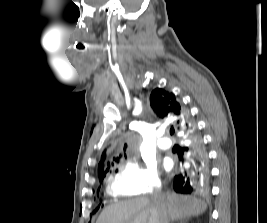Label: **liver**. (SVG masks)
Wrapping results in <instances>:
<instances>
[{"label": "liver", "instance_id": "liver-1", "mask_svg": "<svg viewBox=\"0 0 267 223\" xmlns=\"http://www.w3.org/2000/svg\"><path fill=\"white\" fill-rule=\"evenodd\" d=\"M163 208L170 220H178L203 214L204 201L187 195L167 193ZM160 208L153 198L140 197L116 202L105 208L96 223H160Z\"/></svg>", "mask_w": 267, "mask_h": 223}]
</instances>
